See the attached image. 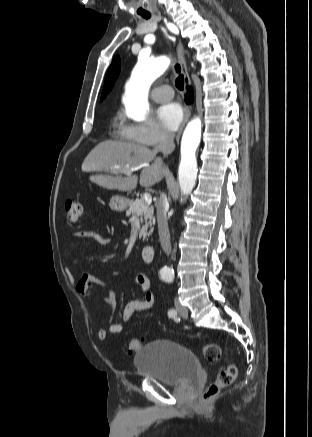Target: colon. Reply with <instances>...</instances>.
<instances>
[{
    "instance_id": "5ec220e1",
    "label": "colon",
    "mask_w": 312,
    "mask_h": 437,
    "mask_svg": "<svg viewBox=\"0 0 312 437\" xmlns=\"http://www.w3.org/2000/svg\"><path fill=\"white\" fill-rule=\"evenodd\" d=\"M84 211L83 203L68 198L64 202L65 220L68 224H75L82 216ZM142 342L139 339H132L129 343V352L135 353L141 347ZM203 356L209 362L220 360L222 351L218 344L207 343L202 348ZM237 368L234 364H228L217 374L214 382L209 386L204 394V399L208 400L216 396L223 388L230 385L236 378Z\"/></svg>"
}]
</instances>
